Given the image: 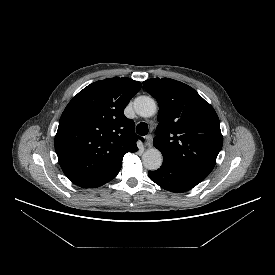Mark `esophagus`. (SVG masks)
<instances>
[{
    "instance_id": "esophagus-1",
    "label": "esophagus",
    "mask_w": 275,
    "mask_h": 275,
    "mask_svg": "<svg viewBox=\"0 0 275 275\" xmlns=\"http://www.w3.org/2000/svg\"><path fill=\"white\" fill-rule=\"evenodd\" d=\"M152 144H153V137H152V135H147L145 137V145L147 147H152Z\"/></svg>"
}]
</instances>
